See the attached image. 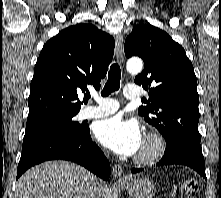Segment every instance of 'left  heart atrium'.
<instances>
[{"label": "left heart atrium", "instance_id": "left-heart-atrium-1", "mask_svg": "<svg viewBox=\"0 0 221 198\" xmlns=\"http://www.w3.org/2000/svg\"><path fill=\"white\" fill-rule=\"evenodd\" d=\"M98 141L121 155H133L142 144V135L135 120H125L121 116H113L99 121L95 127Z\"/></svg>", "mask_w": 221, "mask_h": 198}]
</instances>
